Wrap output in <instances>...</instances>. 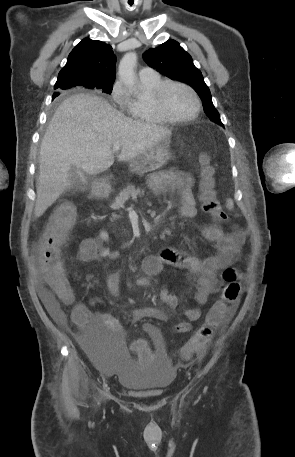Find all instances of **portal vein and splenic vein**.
<instances>
[{"instance_id":"portal-vein-and-splenic-vein-1","label":"portal vein and splenic vein","mask_w":295,"mask_h":457,"mask_svg":"<svg viewBox=\"0 0 295 457\" xmlns=\"http://www.w3.org/2000/svg\"><path fill=\"white\" fill-rule=\"evenodd\" d=\"M112 149L114 152H118L120 150V145L118 143H114Z\"/></svg>"}]
</instances>
